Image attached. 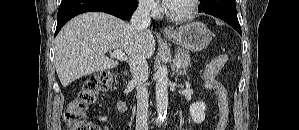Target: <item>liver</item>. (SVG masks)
<instances>
[{"instance_id": "6515ba94", "label": "liver", "mask_w": 299, "mask_h": 130, "mask_svg": "<svg viewBox=\"0 0 299 130\" xmlns=\"http://www.w3.org/2000/svg\"><path fill=\"white\" fill-rule=\"evenodd\" d=\"M55 68L63 87L73 81L118 66L105 54L121 50L151 58L155 40L150 30L137 33L131 24L110 14L88 12L70 20L55 39Z\"/></svg>"}]
</instances>
